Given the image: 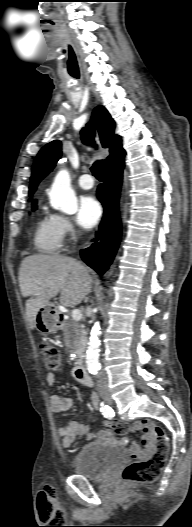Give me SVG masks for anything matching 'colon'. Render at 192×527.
Masks as SVG:
<instances>
[{"mask_svg":"<svg viewBox=\"0 0 192 527\" xmlns=\"http://www.w3.org/2000/svg\"><path fill=\"white\" fill-rule=\"evenodd\" d=\"M41 351L49 371L61 372L63 370L64 363L59 350L55 346L49 343H42ZM105 424L118 434L127 433L129 430L127 424L117 420L106 421ZM145 424L149 426L154 435L155 450L149 459L132 461L125 466L121 476L123 481L128 483H152L159 477L166 465L169 441L165 432L159 426ZM49 492H51V489L43 492L39 498L38 503L42 512L50 509L48 500Z\"/></svg>","mask_w":192,"mask_h":527,"instance_id":"colon-1","label":"colon"}]
</instances>
